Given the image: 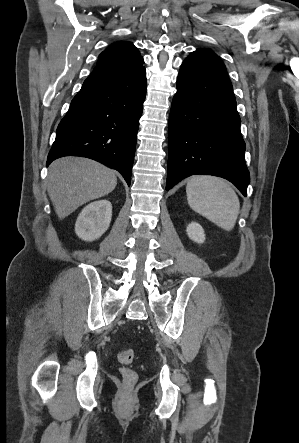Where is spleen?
I'll return each mask as SVG.
<instances>
[{
	"label": "spleen",
	"mask_w": 299,
	"mask_h": 443,
	"mask_svg": "<svg viewBox=\"0 0 299 443\" xmlns=\"http://www.w3.org/2000/svg\"><path fill=\"white\" fill-rule=\"evenodd\" d=\"M190 207L224 230H232L240 209L238 197L225 180L195 176L186 186Z\"/></svg>",
	"instance_id": "1"
}]
</instances>
